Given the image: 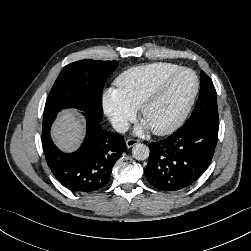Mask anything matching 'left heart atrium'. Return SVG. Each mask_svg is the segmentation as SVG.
I'll use <instances>...</instances> for the list:
<instances>
[{"label":"left heart atrium","mask_w":251,"mask_h":251,"mask_svg":"<svg viewBox=\"0 0 251 251\" xmlns=\"http://www.w3.org/2000/svg\"><path fill=\"white\" fill-rule=\"evenodd\" d=\"M149 127L146 125V123L144 121L141 122V124L139 125V127L137 128L138 132H142L145 129H148Z\"/></svg>","instance_id":"1"}]
</instances>
